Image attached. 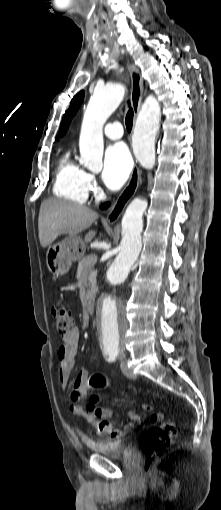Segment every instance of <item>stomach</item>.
<instances>
[{
    "mask_svg": "<svg viewBox=\"0 0 221 510\" xmlns=\"http://www.w3.org/2000/svg\"><path fill=\"white\" fill-rule=\"evenodd\" d=\"M84 254V243L81 238L68 236L61 242L50 245L46 252V264L55 276H62L69 272L72 262L80 259Z\"/></svg>",
    "mask_w": 221,
    "mask_h": 510,
    "instance_id": "0dacf381",
    "label": "stomach"
}]
</instances>
